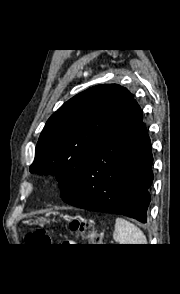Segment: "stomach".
<instances>
[{"instance_id": "stomach-1", "label": "stomach", "mask_w": 180, "mask_h": 294, "mask_svg": "<svg viewBox=\"0 0 180 294\" xmlns=\"http://www.w3.org/2000/svg\"><path fill=\"white\" fill-rule=\"evenodd\" d=\"M44 222L49 223V221H47V220H45V219H43V218H39V219H31V220H30V223H31V224H34V225H36V224L43 225Z\"/></svg>"}]
</instances>
